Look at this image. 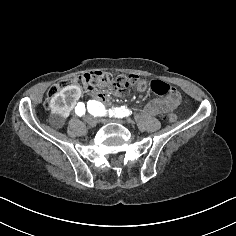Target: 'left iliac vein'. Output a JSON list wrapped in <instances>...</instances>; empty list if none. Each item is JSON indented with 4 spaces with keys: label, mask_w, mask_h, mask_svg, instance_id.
Segmentation results:
<instances>
[{
    "label": "left iliac vein",
    "mask_w": 236,
    "mask_h": 236,
    "mask_svg": "<svg viewBox=\"0 0 236 236\" xmlns=\"http://www.w3.org/2000/svg\"><path fill=\"white\" fill-rule=\"evenodd\" d=\"M96 121L99 122V123H103V124H105L106 122H108V123H109V122H111V123H112V122H113V123H114V122H117V123L120 122V123H122V124L125 123L124 121H121V120L119 121V120H117V119H108V120L105 119V120H104V119L100 118L99 120L97 119Z\"/></svg>",
    "instance_id": "4c4485c4"
}]
</instances>
